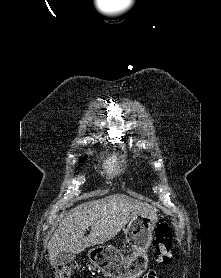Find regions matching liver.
I'll return each instance as SVG.
<instances>
[{
	"mask_svg": "<svg viewBox=\"0 0 221 278\" xmlns=\"http://www.w3.org/2000/svg\"><path fill=\"white\" fill-rule=\"evenodd\" d=\"M155 212L148 203L124 194L82 203L67 213L52 235L48 244L50 262L53 264L61 252L78 254L90 246L103 244L114 238L134 216ZM89 227L91 231L85 237Z\"/></svg>",
	"mask_w": 221,
	"mask_h": 278,
	"instance_id": "obj_1",
	"label": "liver"
}]
</instances>
